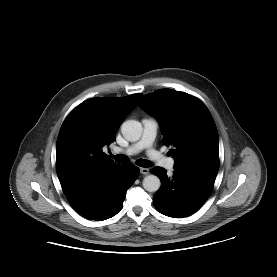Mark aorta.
<instances>
[{
  "mask_svg": "<svg viewBox=\"0 0 277 277\" xmlns=\"http://www.w3.org/2000/svg\"><path fill=\"white\" fill-rule=\"evenodd\" d=\"M142 125L136 120H127L121 126L123 137L130 142L138 141L142 135ZM161 186L160 179L155 175H148L143 179V188L148 192H156Z\"/></svg>",
  "mask_w": 277,
  "mask_h": 277,
  "instance_id": "762f6f07",
  "label": "aorta"
}]
</instances>
